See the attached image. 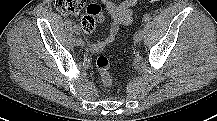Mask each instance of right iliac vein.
<instances>
[{
    "label": "right iliac vein",
    "mask_w": 217,
    "mask_h": 121,
    "mask_svg": "<svg viewBox=\"0 0 217 121\" xmlns=\"http://www.w3.org/2000/svg\"><path fill=\"white\" fill-rule=\"evenodd\" d=\"M76 43H77L78 46H81V47L84 46V41H83L81 38H78V39L76 40Z\"/></svg>",
    "instance_id": "obj_1"
}]
</instances>
